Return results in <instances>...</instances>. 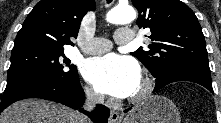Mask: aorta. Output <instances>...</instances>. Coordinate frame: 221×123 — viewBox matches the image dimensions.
<instances>
[{
  "label": "aorta",
  "mask_w": 221,
  "mask_h": 123,
  "mask_svg": "<svg viewBox=\"0 0 221 123\" xmlns=\"http://www.w3.org/2000/svg\"><path fill=\"white\" fill-rule=\"evenodd\" d=\"M136 19V12L131 6H117L111 9L106 20L112 24H128Z\"/></svg>",
  "instance_id": "762f6f07"
}]
</instances>
